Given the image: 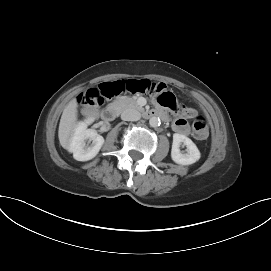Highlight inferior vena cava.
<instances>
[{"label": "inferior vena cava", "instance_id": "inferior-vena-cava-1", "mask_svg": "<svg viewBox=\"0 0 271 271\" xmlns=\"http://www.w3.org/2000/svg\"><path fill=\"white\" fill-rule=\"evenodd\" d=\"M141 114L135 108H127L121 114V119L124 121H138Z\"/></svg>", "mask_w": 271, "mask_h": 271}]
</instances>
